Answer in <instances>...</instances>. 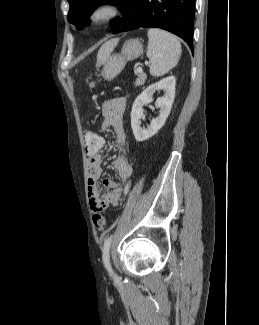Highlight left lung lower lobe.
I'll return each mask as SVG.
<instances>
[{"label":"left lung lower lobe","instance_id":"0a47b994","mask_svg":"<svg viewBox=\"0 0 259 325\" xmlns=\"http://www.w3.org/2000/svg\"><path fill=\"white\" fill-rule=\"evenodd\" d=\"M195 0H128L112 33L161 28L181 37L192 48Z\"/></svg>","mask_w":259,"mask_h":325}]
</instances>
